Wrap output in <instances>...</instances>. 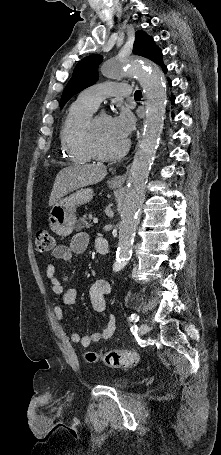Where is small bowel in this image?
<instances>
[{"mask_svg": "<svg viewBox=\"0 0 221 455\" xmlns=\"http://www.w3.org/2000/svg\"><path fill=\"white\" fill-rule=\"evenodd\" d=\"M89 245L87 234L80 232L75 234L68 246H56L51 255L53 258L64 261L68 266L71 265L75 255L82 254ZM46 286L53 292L56 297V304L53 307V313L57 320L62 321L64 318L62 305H73L76 301V290L73 287H66L68 276L58 278L55 274V267L48 263L46 267ZM111 292L110 283L107 280H96L90 288V300L93 309L101 314L104 321V328L100 331L93 332L89 335L80 336L77 332L70 333V339L73 343L88 348L91 344L111 338L116 330L115 317L106 311V297Z\"/></svg>", "mask_w": 221, "mask_h": 455, "instance_id": "c3829d8e", "label": "small bowel"}]
</instances>
